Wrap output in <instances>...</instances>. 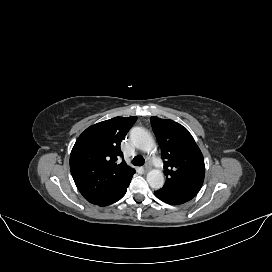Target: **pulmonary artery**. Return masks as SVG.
<instances>
[{"instance_id":"obj_1","label":"pulmonary artery","mask_w":272,"mask_h":272,"mask_svg":"<svg viewBox=\"0 0 272 272\" xmlns=\"http://www.w3.org/2000/svg\"><path fill=\"white\" fill-rule=\"evenodd\" d=\"M153 164L155 165L156 168H163V165L160 162H153Z\"/></svg>"}]
</instances>
